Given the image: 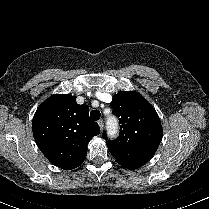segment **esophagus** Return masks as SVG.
Listing matches in <instances>:
<instances>
[{"mask_svg":"<svg viewBox=\"0 0 209 209\" xmlns=\"http://www.w3.org/2000/svg\"><path fill=\"white\" fill-rule=\"evenodd\" d=\"M98 125H99L100 129L103 130V127H104V122H103V120H99V121H98Z\"/></svg>","mask_w":209,"mask_h":209,"instance_id":"34e87169","label":"esophagus"}]
</instances>
